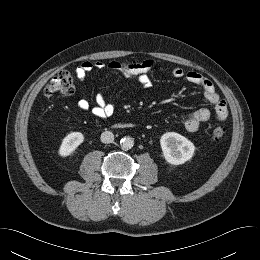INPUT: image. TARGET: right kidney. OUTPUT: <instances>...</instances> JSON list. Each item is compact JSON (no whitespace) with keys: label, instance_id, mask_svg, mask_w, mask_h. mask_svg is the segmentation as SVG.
Masks as SVG:
<instances>
[{"label":"right kidney","instance_id":"ca27d5eb","mask_svg":"<svg viewBox=\"0 0 260 260\" xmlns=\"http://www.w3.org/2000/svg\"><path fill=\"white\" fill-rule=\"evenodd\" d=\"M84 135L81 132H71L63 140L59 148V155L66 157L71 155L76 148L83 143Z\"/></svg>","mask_w":260,"mask_h":260}]
</instances>
